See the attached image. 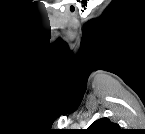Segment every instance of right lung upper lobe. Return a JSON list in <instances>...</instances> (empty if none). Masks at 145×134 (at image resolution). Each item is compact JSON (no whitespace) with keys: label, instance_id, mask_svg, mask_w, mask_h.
<instances>
[{"label":"right lung upper lobe","instance_id":"1","mask_svg":"<svg viewBox=\"0 0 145 134\" xmlns=\"http://www.w3.org/2000/svg\"><path fill=\"white\" fill-rule=\"evenodd\" d=\"M118 124L108 118H101L93 122L84 132L86 134H117L120 131Z\"/></svg>","mask_w":145,"mask_h":134}]
</instances>
